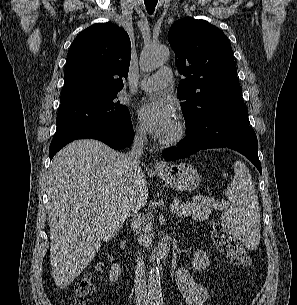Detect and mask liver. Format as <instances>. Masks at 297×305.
I'll use <instances>...</instances> for the list:
<instances>
[{
  "mask_svg": "<svg viewBox=\"0 0 297 305\" xmlns=\"http://www.w3.org/2000/svg\"><path fill=\"white\" fill-rule=\"evenodd\" d=\"M125 154L97 140H76L53 158L48 172L52 277L66 288L93 260L101 241L113 238L128 216L134 188L145 204L143 172L133 182Z\"/></svg>",
  "mask_w": 297,
  "mask_h": 305,
  "instance_id": "liver-1",
  "label": "liver"
}]
</instances>
